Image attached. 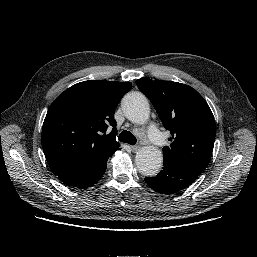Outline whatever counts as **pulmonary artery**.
<instances>
[{"instance_id": "e3ab8cb5", "label": "pulmonary artery", "mask_w": 257, "mask_h": 257, "mask_svg": "<svg viewBox=\"0 0 257 257\" xmlns=\"http://www.w3.org/2000/svg\"><path fill=\"white\" fill-rule=\"evenodd\" d=\"M147 135L151 143L157 147H161L165 144V137L163 133L154 125L150 126Z\"/></svg>"}]
</instances>
